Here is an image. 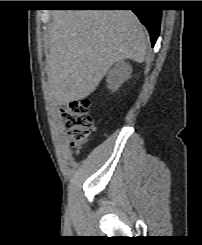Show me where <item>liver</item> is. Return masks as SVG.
Returning a JSON list of instances; mask_svg holds the SVG:
<instances>
[{
  "mask_svg": "<svg viewBox=\"0 0 202 245\" xmlns=\"http://www.w3.org/2000/svg\"><path fill=\"white\" fill-rule=\"evenodd\" d=\"M48 44L50 90L66 105L89 96L114 63L143 62L149 36L130 10H59Z\"/></svg>",
  "mask_w": 202,
  "mask_h": 245,
  "instance_id": "1",
  "label": "liver"
}]
</instances>
